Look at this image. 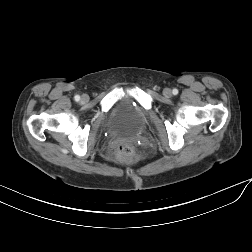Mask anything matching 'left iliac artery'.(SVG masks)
<instances>
[{"mask_svg":"<svg viewBox=\"0 0 252 252\" xmlns=\"http://www.w3.org/2000/svg\"><path fill=\"white\" fill-rule=\"evenodd\" d=\"M174 95H177L178 94V90L177 89H173V92H172Z\"/></svg>","mask_w":252,"mask_h":252,"instance_id":"left-iliac-artery-1","label":"left iliac artery"}]
</instances>
